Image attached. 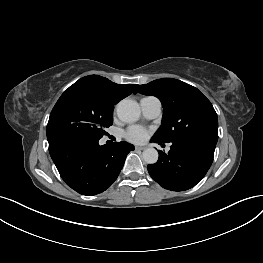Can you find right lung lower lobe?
Returning <instances> with one entry per match:
<instances>
[{
	"instance_id": "obj_1",
	"label": "right lung lower lobe",
	"mask_w": 263,
	"mask_h": 263,
	"mask_svg": "<svg viewBox=\"0 0 263 263\" xmlns=\"http://www.w3.org/2000/svg\"><path fill=\"white\" fill-rule=\"evenodd\" d=\"M134 146L125 141L99 145V139L63 138L49 142V153L65 183L83 195L105 191L118 177Z\"/></svg>"
}]
</instances>
